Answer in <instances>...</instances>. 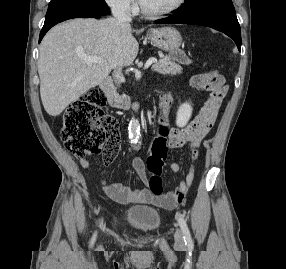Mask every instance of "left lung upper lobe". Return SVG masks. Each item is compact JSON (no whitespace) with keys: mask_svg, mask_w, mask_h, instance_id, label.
I'll use <instances>...</instances> for the list:
<instances>
[{"mask_svg":"<svg viewBox=\"0 0 286 269\" xmlns=\"http://www.w3.org/2000/svg\"><path fill=\"white\" fill-rule=\"evenodd\" d=\"M209 10H235L231 0H185V5L179 7L177 12L181 15L192 14Z\"/></svg>","mask_w":286,"mask_h":269,"instance_id":"left-lung-upper-lobe-1","label":"left lung upper lobe"}]
</instances>
